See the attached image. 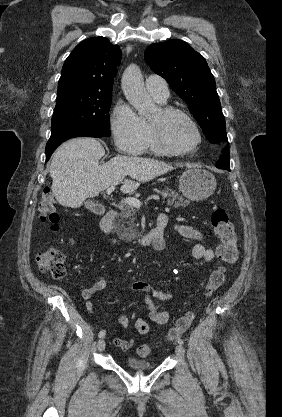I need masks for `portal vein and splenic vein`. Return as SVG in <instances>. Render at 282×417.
Here are the masks:
<instances>
[{"label":"portal vein and splenic vein","instance_id":"obj_1","mask_svg":"<svg viewBox=\"0 0 282 417\" xmlns=\"http://www.w3.org/2000/svg\"><path fill=\"white\" fill-rule=\"evenodd\" d=\"M113 190H115V186H109V188H107L106 190V194H111V192H113ZM159 198V196H153L150 195L149 199L153 200ZM125 202H127V204H132V206H135V211L136 212H143L144 211V206L141 205L142 202H140L139 198H134V196H127V198H124Z\"/></svg>","mask_w":282,"mask_h":417}]
</instances>
